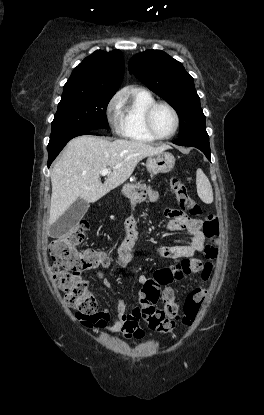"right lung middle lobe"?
<instances>
[{
  "mask_svg": "<svg viewBox=\"0 0 264 415\" xmlns=\"http://www.w3.org/2000/svg\"><path fill=\"white\" fill-rule=\"evenodd\" d=\"M113 94L62 96L52 121L48 148L86 131L108 127L106 108Z\"/></svg>",
  "mask_w": 264,
  "mask_h": 415,
  "instance_id": "1",
  "label": "right lung middle lobe"
}]
</instances>
